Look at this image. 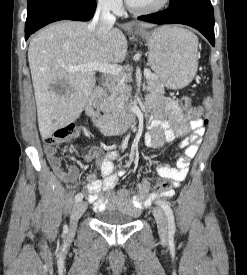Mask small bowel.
Listing matches in <instances>:
<instances>
[{"mask_svg":"<svg viewBox=\"0 0 247 275\" xmlns=\"http://www.w3.org/2000/svg\"><path fill=\"white\" fill-rule=\"evenodd\" d=\"M146 103L152 112V118L148 132L143 138L145 146L160 148L165 143H172L175 139L184 137L181 142L184 155L178 159L176 167L159 164L156 168L158 176L171 179L175 188L186 178L190 161L198 152L201 137L205 132L204 120L201 118L188 120L176 101L156 94L149 95ZM189 132L191 133L187 136ZM45 153L51 168L62 182L67 184L76 182L79 174L76 166L70 165L64 169L54 146L46 145ZM116 157V151H104L100 148H92L84 155L86 161L94 160L98 168L87 176L86 184L87 198L95 211L110 209L137 215L158 196L171 197L174 194L173 188L159 194L150 193L145 180L136 185V193L128 189L115 191L122 175V172H115Z\"/></svg>","mask_w":247,"mask_h":275,"instance_id":"1","label":"small bowel"}]
</instances>
